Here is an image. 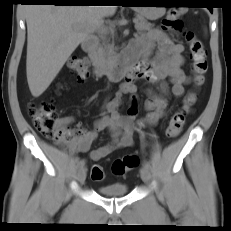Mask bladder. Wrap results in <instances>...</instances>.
Returning <instances> with one entry per match:
<instances>
[{
  "label": "bladder",
  "instance_id": "31cf9c89",
  "mask_svg": "<svg viewBox=\"0 0 231 231\" xmlns=\"http://www.w3.org/2000/svg\"><path fill=\"white\" fill-rule=\"evenodd\" d=\"M98 192L105 197H123L128 192L125 184L103 185L98 188Z\"/></svg>",
  "mask_w": 231,
  "mask_h": 231
}]
</instances>
